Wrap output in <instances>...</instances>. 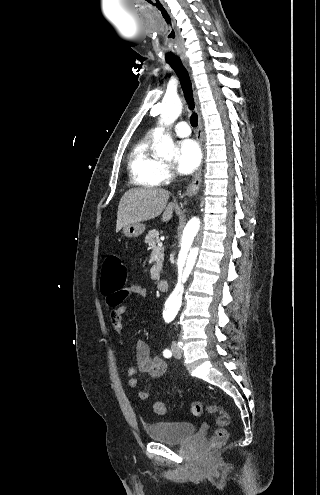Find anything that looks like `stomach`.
<instances>
[{"label":"stomach","instance_id":"obj_1","mask_svg":"<svg viewBox=\"0 0 320 495\" xmlns=\"http://www.w3.org/2000/svg\"><path fill=\"white\" fill-rule=\"evenodd\" d=\"M145 231V225L141 223H131L123 227L126 237H138Z\"/></svg>","mask_w":320,"mask_h":495}]
</instances>
